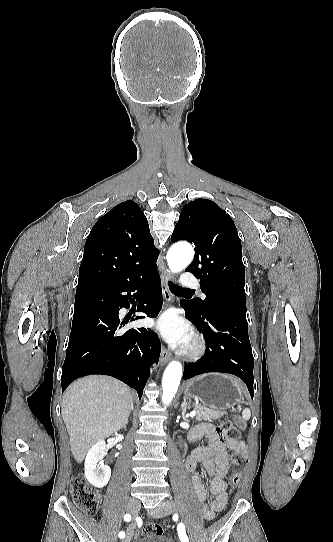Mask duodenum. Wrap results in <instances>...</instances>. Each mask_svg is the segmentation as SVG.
<instances>
[{
    "mask_svg": "<svg viewBox=\"0 0 333 542\" xmlns=\"http://www.w3.org/2000/svg\"><path fill=\"white\" fill-rule=\"evenodd\" d=\"M196 438H197V435H195V434H190V440H194V439H196Z\"/></svg>",
    "mask_w": 333,
    "mask_h": 542,
    "instance_id": "obj_1",
    "label": "duodenum"
}]
</instances>
